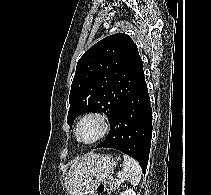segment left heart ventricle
<instances>
[{
	"instance_id": "left-heart-ventricle-1",
	"label": "left heart ventricle",
	"mask_w": 211,
	"mask_h": 195,
	"mask_svg": "<svg viewBox=\"0 0 211 195\" xmlns=\"http://www.w3.org/2000/svg\"><path fill=\"white\" fill-rule=\"evenodd\" d=\"M100 131V124L95 119L86 120L80 128V138L83 141H90L95 138Z\"/></svg>"
}]
</instances>
